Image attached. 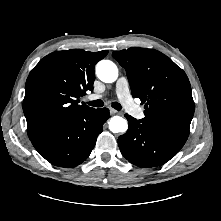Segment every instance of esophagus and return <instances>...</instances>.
Segmentation results:
<instances>
[{"mask_svg": "<svg viewBox=\"0 0 221 221\" xmlns=\"http://www.w3.org/2000/svg\"><path fill=\"white\" fill-rule=\"evenodd\" d=\"M110 113H111L112 115H115V114H119V111H117V110H115V109H113V108H110Z\"/></svg>", "mask_w": 221, "mask_h": 221, "instance_id": "1", "label": "esophagus"}]
</instances>
